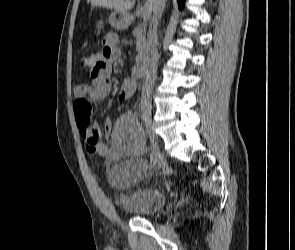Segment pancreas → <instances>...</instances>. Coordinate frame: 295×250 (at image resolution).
<instances>
[{"mask_svg": "<svg viewBox=\"0 0 295 250\" xmlns=\"http://www.w3.org/2000/svg\"><path fill=\"white\" fill-rule=\"evenodd\" d=\"M132 33L136 38V49L138 51V56L136 57V60L139 61L143 53L146 51L147 47L145 22L135 27Z\"/></svg>", "mask_w": 295, "mask_h": 250, "instance_id": "obj_1", "label": "pancreas"}]
</instances>
